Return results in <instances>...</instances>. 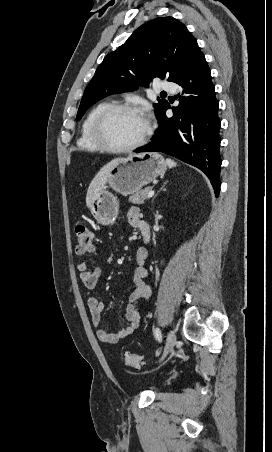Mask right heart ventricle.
Listing matches in <instances>:
<instances>
[{
    "label": "right heart ventricle",
    "instance_id": "right-heart-ventricle-1",
    "mask_svg": "<svg viewBox=\"0 0 272 452\" xmlns=\"http://www.w3.org/2000/svg\"><path fill=\"white\" fill-rule=\"evenodd\" d=\"M106 104H108V103H106V102L99 103L98 105L93 107L88 112L86 117L84 118L82 125H81L80 134H79V137L77 140V145L79 148H81L85 151H90V152H96V151L102 150L100 145L95 141V139L92 136L91 124H92V120H93L94 116L96 115V113L102 107H104Z\"/></svg>",
    "mask_w": 272,
    "mask_h": 452
}]
</instances>
